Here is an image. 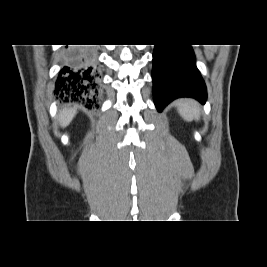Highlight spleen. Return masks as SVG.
<instances>
[{"instance_id":"spleen-1","label":"spleen","mask_w":267,"mask_h":267,"mask_svg":"<svg viewBox=\"0 0 267 267\" xmlns=\"http://www.w3.org/2000/svg\"><path fill=\"white\" fill-rule=\"evenodd\" d=\"M180 116L186 121L199 120L200 110L193 100H180L176 103Z\"/></svg>"}]
</instances>
